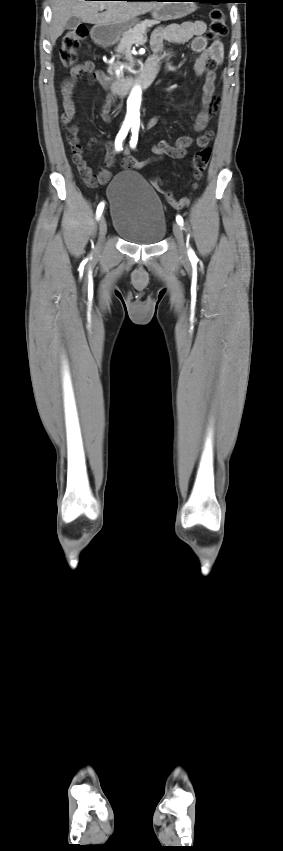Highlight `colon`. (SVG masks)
<instances>
[{
    "instance_id": "1",
    "label": "colon",
    "mask_w": 283,
    "mask_h": 851,
    "mask_svg": "<svg viewBox=\"0 0 283 851\" xmlns=\"http://www.w3.org/2000/svg\"><path fill=\"white\" fill-rule=\"evenodd\" d=\"M227 31L228 30L225 20V14L223 10L220 8L212 9L210 12L208 37L213 40H218L219 38L225 36L227 34ZM87 36L88 28L83 24L69 30L63 35L59 51L60 62L62 63V65L71 66L77 61L80 43L85 38H87ZM210 157L211 149L209 147L201 148L193 156L192 168L193 175L196 180L200 179L202 173L207 168ZM154 186L175 209H182L188 205L189 198L185 197L180 200H176L173 197L171 191L165 190L161 187V183L159 180L154 181Z\"/></svg>"
}]
</instances>
